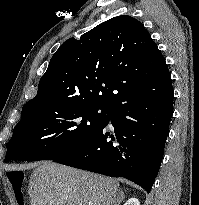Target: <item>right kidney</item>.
Here are the masks:
<instances>
[{"mask_svg":"<svg viewBox=\"0 0 199 205\" xmlns=\"http://www.w3.org/2000/svg\"><path fill=\"white\" fill-rule=\"evenodd\" d=\"M124 205H140L137 198H130Z\"/></svg>","mask_w":199,"mask_h":205,"instance_id":"ca27d5eb","label":"right kidney"}]
</instances>
